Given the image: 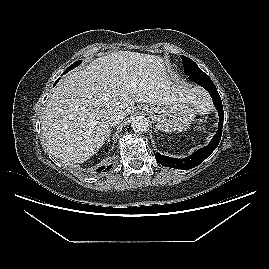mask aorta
I'll return each mask as SVG.
<instances>
[{
    "instance_id": "obj_1",
    "label": "aorta",
    "mask_w": 269,
    "mask_h": 269,
    "mask_svg": "<svg viewBox=\"0 0 269 269\" xmlns=\"http://www.w3.org/2000/svg\"><path fill=\"white\" fill-rule=\"evenodd\" d=\"M149 122L144 116H136L132 119L131 128L134 132L143 133L148 129Z\"/></svg>"
}]
</instances>
